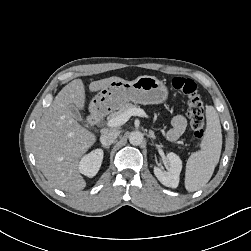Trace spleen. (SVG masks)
I'll return each mask as SVG.
<instances>
[{
	"mask_svg": "<svg viewBox=\"0 0 251 251\" xmlns=\"http://www.w3.org/2000/svg\"><path fill=\"white\" fill-rule=\"evenodd\" d=\"M206 131L201 150L193 153L186 164L185 188L197 191L208 183L219 162L222 148L221 125L213 106L206 108Z\"/></svg>",
	"mask_w": 251,
	"mask_h": 251,
	"instance_id": "spleen-1",
	"label": "spleen"
}]
</instances>
